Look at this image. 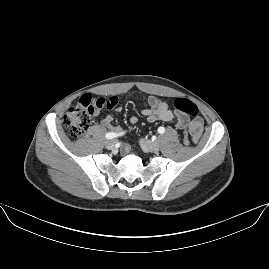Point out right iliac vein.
I'll list each match as a JSON object with an SVG mask.
<instances>
[{
    "label": "right iliac vein",
    "instance_id": "obj_1",
    "mask_svg": "<svg viewBox=\"0 0 269 269\" xmlns=\"http://www.w3.org/2000/svg\"><path fill=\"white\" fill-rule=\"evenodd\" d=\"M116 143H117V140H115V139L108 140V141H106L105 146L108 150H110L115 146Z\"/></svg>",
    "mask_w": 269,
    "mask_h": 269
}]
</instances>
